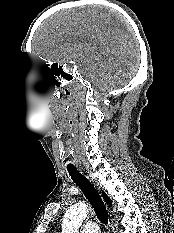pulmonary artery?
I'll return each instance as SVG.
<instances>
[{"instance_id":"1","label":"pulmonary artery","mask_w":174,"mask_h":233,"mask_svg":"<svg viewBox=\"0 0 174 233\" xmlns=\"http://www.w3.org/2000/svg\"><path fill=\"white\" fill-rule=\"evenodd\" d=\"M81 233H100V230L95 222L88 221L81 226Z\"/></svg>"}]
</instances>
